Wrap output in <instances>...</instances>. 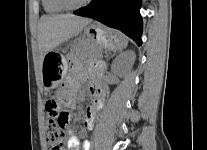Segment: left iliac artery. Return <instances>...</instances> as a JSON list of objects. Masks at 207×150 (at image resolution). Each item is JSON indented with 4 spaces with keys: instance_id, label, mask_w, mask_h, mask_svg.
I'll list each match as a JSON object with an SVG mask.
<instances>
[{
    "instance_id": "44dca946",
    "label": "left iliac artery",
    "mask_w": 207,
    "mask_h": 150,
    "mask_svg": "<svg viewBox=\"0 0 207 150\" xmlns=\"http://www.w3.org/2000/svg\"><path fill=\"white\" fill-rule=\"evenodd\" d=\"M90 148V142L88 140L84 141V150H89Z\"/></svg>"
}]
</instances>
